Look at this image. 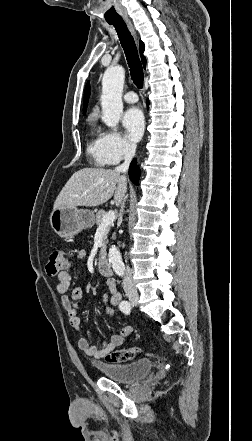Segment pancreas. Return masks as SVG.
<instances>
[{"label": "pancreas", "instance_id": "obj_1", "mask_svg": "<svg viewBox=\"0 0 252 441\" xmlns=\"http://www.w3.org/2000/svg\"><path fill=\"white\" fill-rule=\"evenodd\" d=\"M105 214H106V212L104 210H99L96 213V216L94 218V222L98 226L102 223V220H103V217H104ZM109 230H110V226L107 227V230H106V232L104 234V238H103L104 241H103V245H102V248H101L100 254H99L100 257H102V256H104L106 254V243H105V240L107 239V235H108Z\"/></svg>", "mask_w": 252, "mask_h": 441}]
</instances>
